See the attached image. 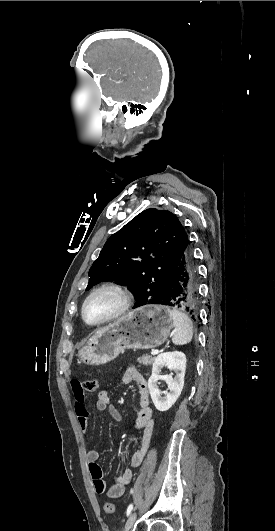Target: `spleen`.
Masks as SVG:
<instances>
[{
	"instance_id": "1",
	"label": "spleen",
	"mask_w": 275,
	"mask_h": 531,
	"mask_svg": "<svg viewBox=\"0 0 275 531\" xmlns=\"http://www.w3.org/2000/svg\"><path fill=\"white\" fill-rule=\"evenodd\" d=\"M170 315L173 319L174 333L172 343L174 345H187L193 339V323L186 313L172 309Z\"/></svg>"
}]
</instances>
